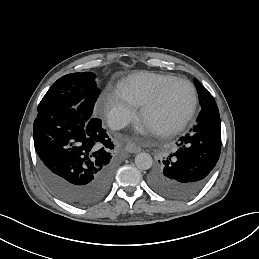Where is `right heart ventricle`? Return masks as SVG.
Listing matches in <instances>:
<instances>
[{
    "instance_id": "right-heart-ventricle-1",
    "label": "right heart ventricle",
    "mask_w": 259,
    "mask_h": 259,
    "mask_svg": "<svg viewBox=\"0 0 259 259\" xmlns=\"http://www.w3.org/2000/svg\"><path fill=\"white\" fill-rule=\"evenodd\" d=\"M174 76L173 74L144 72L126 80L121 88L139 106H143L163 82Z\"/></svg>"
}]
</instances>
